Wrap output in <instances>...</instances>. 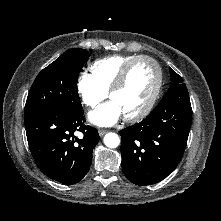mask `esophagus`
Masks as SVG:
<instances>
[{
    "mask_svg": "<svg viewBox=\"0 0 221 221\" xmlns=\"http://www.w3.org/2000/svg\"><path fill=\"white\" fill-rule=\"evenodd\" d=\"M98 133H99V136H103L104 134H106L107 133V130H104V129H100L99 131H98Z\"/></svg>",
    "mask_w": 221,
    "mask_h": 221,
    "instance_id": "34e87169",
    "label": "esophagus"
}]
</instances>
